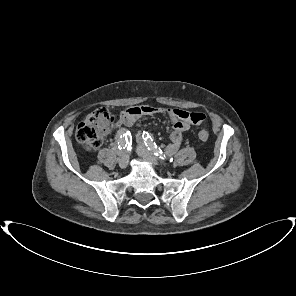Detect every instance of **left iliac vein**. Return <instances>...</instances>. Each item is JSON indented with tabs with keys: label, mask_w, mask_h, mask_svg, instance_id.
<instances>
[{
	"label": "left iliac vein",
	"mask_w": 296,
	"mask_h": 296,
	"mask_svg": "<svg viewBox=\"0 0 296 296\" xmlns=\"http://www.w3.org/2000/svg\"><path fill=\"white\" fill-rule=\"evenodd\" d=\"M137 153L140 157L144 158L145 160L158 165L159 161L158 159L147 150V148L143 145V142H139V146L137 147Z\"/></svg>",
	"instance_id": "left-iliac-vein-1"
}]
</instances>
